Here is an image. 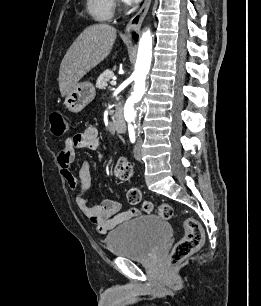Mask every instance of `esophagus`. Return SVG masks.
Segmentation results:
<instances>
[{
  "label": "esophagus",
  "instance_id": "1",
  "mask_svg": "<svg viewBox=\"0 0 261 306\" xmlns=\"http://www.w3.org/2000/svg\"><path fill=\"white\" fill-rule=\"evenodd\" d=\"M152 0H144L141 8L138 10V12L130 19V21L128 22L125 32L123 34L124 38H130L131 37V33L133 31H136L139 29L145 15L148 12V9L150 7Z\"/></svg>",
  "mask_w": 261,
  "mask_h": 306
}]
</instances>
